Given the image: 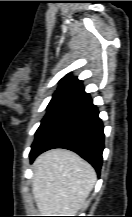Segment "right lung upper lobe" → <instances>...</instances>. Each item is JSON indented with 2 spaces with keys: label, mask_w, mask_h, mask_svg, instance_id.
Instances as JSON below:
<instances>
[{
  "label": "right lung upper lobe",
  "mask_w": 132,
  "mask_h": 217,
  "mask_svg": "<svg viewBox=\"0 0 132 217\" xmlns=\"http://www.w3.org/2000/svg\"><path fill=\"white\" fill-rule=\"evenodd\" d=\"M56 93L69 94L76 98L88 95L84 91L82 81L78 80L76 77H65L60 80V86Z\"/></svg>",
  "instance_id": "1"
}]
</instances>
